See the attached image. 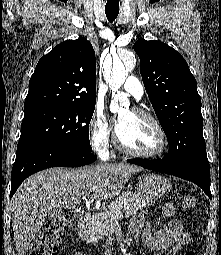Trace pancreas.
Masks as SVG:
<instances>
[{
  "mask_svg": "<svg viewBox=\"0 0 221 255\" xmlns=\"http://www.w3.org/2000/svg\"><path fill=\"white\" fill-rule=\"evenodd\" d=\"M152 202L143 199L140 194L133 191H126L113 201L101 212L94 214L86 222L85 238L89 242H97L99 239L107 236L113 231L118 220L122 218L123 214L126 217L132 216L139 209L150 206ZM121 216H117L118 212Z\"/></svg>",
  "mask_w": 221,
  "mask_h": 255,
  "instance_id": "pancreas-1",
  "label": "pancreas"
}]
</instances>
